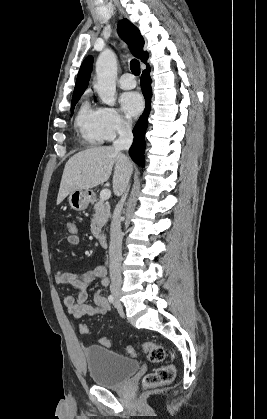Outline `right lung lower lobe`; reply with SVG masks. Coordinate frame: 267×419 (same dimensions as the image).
<instances>
[{"instance_id": "98d812e1", "label": "right lung lower lobe", "mask_w": 267, "mask_h": 419, "mask_svg": "<svg viewBox=\"0 0 267 419\" xmlns=\"http://www.w3.org/2000/svg\"><path fill=\"white\" fill-rule=\"evenodd\" d=\"M150 67L147 68L142 72L141 76V88L145 97V109L144 113L138 119L135 127L133 128L134 134V141L129 149V154L132 160L138 164L139 166L144 167L145 158H144V151H145V133L148 127V116L151 109V97H152V90H151V78H150Z\"/></svg>"}]
</instances>
